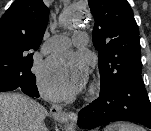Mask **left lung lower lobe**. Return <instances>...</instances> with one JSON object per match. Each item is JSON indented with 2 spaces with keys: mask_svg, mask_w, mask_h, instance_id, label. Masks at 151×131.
<instances>
[{
  "mask_svg": "<svg viewBox=\"0 0 151 131\" xmlns=\"http://www.w3.org/2000/svg\"><path fill=\"white\" fill-rule=\"evenodd\" d=\"M130 121L151 129V103L141 73H133L100 96L78 113V126L93 129L114 122Z\"/></svg>",
  "mask_w": 151,
  "mask_h": 131,
  "instance_id": "1",
  "label": "left lung lower lobe"
}]
</instances>
